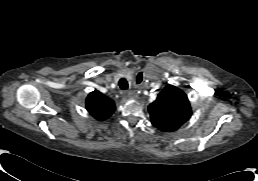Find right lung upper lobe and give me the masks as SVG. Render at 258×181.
Masks as SVG:
<instances>
[{"label":"right lung upper lobe","instance_id":"right-lung-upper-lobe-1","mask_svg":"<svg viewBox=\"0 0 258 181\" xmlns=\"http://www.w3.org/2000/svg\"><path fill=\"white\" fill-rule=\"evenodd\" d=\"M86 108L97 120H105L113 114L115 103L99 91H93L86 99Z\"/></svg>","mask_w":258,"mask_h":181}]
</instances>
